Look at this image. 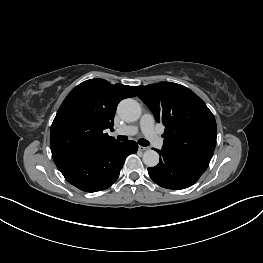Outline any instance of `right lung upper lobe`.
<instances>
[{
	"instance_id": "1",
	"label": "right lung upper lobe",
	"mask_w": 263,
	"mask_h": 263,
	"mask_svg": "<svg viewBox=\"0 0 263 263\" xmlns=\"http://www.w3.org/2000/svg\"><path fill=\"white\" fill-rule=\"evenodd\" d=\"M132 86L90 79L77 85L61 104L51 126L50 147L55 164L84 156L117 141L113 130L118 103L134 97Z\"/></svg>"
}]
</instances>
